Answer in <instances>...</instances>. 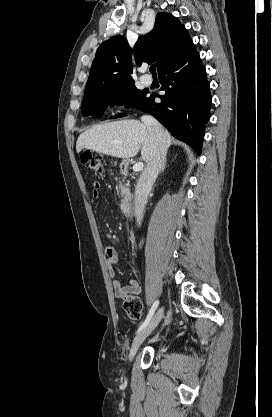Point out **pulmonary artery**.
Masks as SVG:
<instances>
[{
  "label": "pulmonary artery",
  "mask_w": 272,
  "mask_h": 417,
  "mask_svg": "<svg viewBox=\"0 0 272 417\" xmlns=\"http://www.w3.org/2000/svg\"><path fill=\"white\" fill-rule=\"evenodd\" d=\"M141 80L145 85H150L152 83V79L146 75L142 76Z\"/></svg>",
  "instance_id": "obj_1"
}]
</instances>
